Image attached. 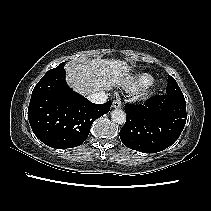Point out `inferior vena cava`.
<instances>
[{
  "instance_id": "obj_1",
  "label": "inferior vena cava",
  "mask_w": 211,
  "mask_h": 211,
  "mask_svg": "<svg viewBox=\"0 0 211 211\" xmlns=\"http://www.w3.org/2000/svg\"><path fill=\"white\" fill-rule=\"evenodd\" d=\"M88 100L95 104H103L106 102L108 95L104 92L92 93L88 95Z\"/></svg>"
}]
</instances>
